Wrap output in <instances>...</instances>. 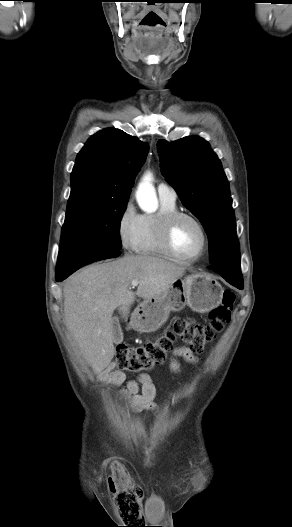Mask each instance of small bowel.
<instances>
[{"instance_id":"c3829d8e","label":"small bowel","mask_w":292,"mask_h":527,"mask_svg":"<svg viewBox=\"0 0 292 527\" xmlns=\"http://www.w3.org/2000/svg\"><path fill=\"white\" fill-rule=\"evenodd\" d=\"M173 355L174 358L170 362V369L174 373L180 371V364L176 360L177 357H181L189 363L197 361L193 351L188 347L176 348L173 351ZM104 377L113 386H119L126 382V389L120 392V397L127 402L132 411L156 410L157 407L154 403L156 389L149 375L141 373L135 378L127 380L126 374L111 364L104 371Z\"/></svg>"}]
</instances>
